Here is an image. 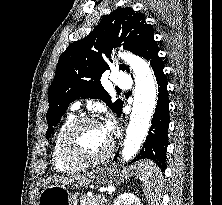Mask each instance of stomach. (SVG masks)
<instances>
[{
    "mask_svg": "<svg viewBox=\"0 0 222 205\" xmlns=\"http://www.w3.org/2000/svg\"><path fill=\"white\" fill-rule=\"evenodd\" d=\"M137 164H134L117 174V171L111 167L103 168L96 172V180L103 185H112L115 181L121 184L125 179L130 176L137 175ZM76 198L71 194L69 188L64 184H51L46 186L39 196L38 205H76Z\"/></svg>",
    "mask_w": 222,
    "mask_h": 205,
    "instance_id": "obj_1",
    "label": "stomach"
}]
</instances>
